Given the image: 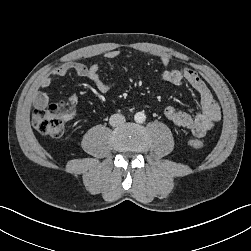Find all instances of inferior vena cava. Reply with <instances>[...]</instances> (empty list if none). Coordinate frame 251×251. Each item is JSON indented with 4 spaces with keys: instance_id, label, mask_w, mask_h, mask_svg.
I'll use <instances>...</instances> for the list:
<instances>
[{
    "instance_id": "obj_1",
    "label": "inferior vena cava",
    "mask_w": 251,
    "mask_h": 251,
    "mask_svg": "<svg viewBox=\"0 0 251 251\" xmlns=\"http://www.w3.org/2000/svg\"><path fill=\"white\" fill-rule=\"evenodd\" d=\"M124 122H125V117L122 114H113L109 120L110 125L113 127L121 125Z\"/></svg>"
}]
</instances>
